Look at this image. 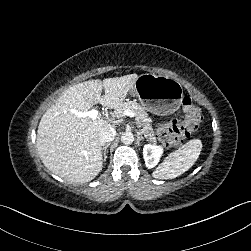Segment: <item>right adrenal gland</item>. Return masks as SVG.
<instances>
[{"instance_id": "1", "label": "right adrenal gland", "mask_w": 251, "mask_h": 251, "mask_svg": "<svg viewBox=\"0 0 251 251\" xmlns=\"http://www.w3.org/2000/svg\"><path fill=\"white\" fill-rule=\"evenodd\" d=\"M110 145V143H106L102 148H101V152H102V155H103V160H106L107 159V149H108V146Z\"/></svg>"}]
</instances>
